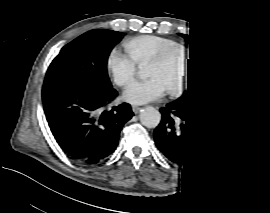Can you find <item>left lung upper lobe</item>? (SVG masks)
<instances>
[{"label":"left lung upper lobe","mask_w":270,"mask_h":213,"mask_svg":"<svg viewBox=\"0 0 270 213\" xmlns=\"http://www.w3.org/2000/svg\"><path fill=\"white\" fill-rule=\"evenodd\" d=\"M190 44L198 57V75L188 91L180 98L186 101H197L222 93L228 82V73L212 50L191 35L179 34Z\"/></svg>","instance_id":"1"}]
</instances>
